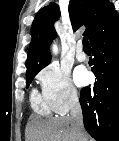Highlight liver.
<instances>
[{
	"label": "liver",
	"instance_id": "1",
	"mask_svg": "<svg viewBox=\"0 0 119 141\" xmlns=\"http://www.w3.org/2000/svg\"><path fill=\"white\" fill-rule=\"evenodd\" d=\"M28 141H79L70 117H34L27 125ZM84 138L88 139L84 132Z\"/></svg>",
	"mask_w": 119,
	"mask_h": 141
}]
</instances>
